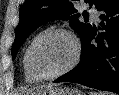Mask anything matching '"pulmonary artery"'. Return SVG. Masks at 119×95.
Listing matches in <instances>:
<instances>
[{
  "label": "pulmonary artery",
  "instance_id": "pulmonary-artery-1",
  "mask_svg": "<svg viewBox=\"0 0 119 95\" xmlns=\"http://www.w3.org/2000/svg\"><path fill=\"white\" fill-rule=\"evenodd\" d=\"M90 14H91V17L93 18L94 21H98L99 20V15H98V12L94 9H91L90 10Z\"/></svg>",
  "mask_w": 119,
  "mask_h": 95
}]
</instances>
